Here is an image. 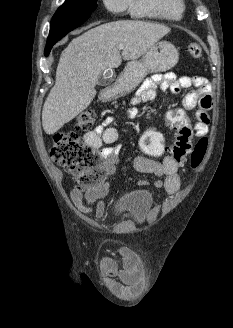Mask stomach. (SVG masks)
Segmentation results:
<instances>
[{
    "label": "stomach",
    "mask_w": 233,
    "mask_h": 328,
    "mask_svg": "<svg viewBox=\"0 0 233 328\" xmlns=\"http://www.w3.org/2000/svg\"><path fill=\"white\" fill-rule=\"evenodd\" d=\"M178 59L179 53L170 42L162 41L153 45L141 60L127 63L111 98H118L133 91L149 72H165L173 68Z\"/></svg>",
    "instance_id": "stomach-1"
}]
</instances>
